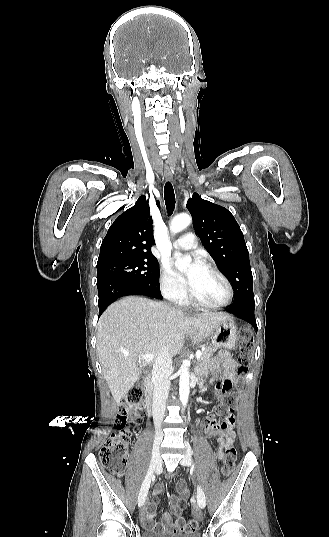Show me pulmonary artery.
Instances as JSON below:
<instances>
[{"label":"pulmonary artery","instance_id":"obj_1","mask_svg":"<svg viewBox=\"0 0 329 537\" xmlns=\"http://www.w3.org/2000/svg\"><path fill=\"white\" fill-rule=\"evenodd\" d=\"M173 246L176 249L189 250L197 247V240L193 233L189 232L177 239Z\"/></svg>","mask_w":329,"mask_h":537}]
</instances>
